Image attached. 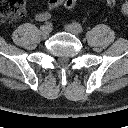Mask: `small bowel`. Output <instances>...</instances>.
Instances as JSON below:
<instances>
[{"instance_id":"obj_1","label":"small bowel","mask_w":128,"mask_h":128,"mask_svg":"<svg viewBox=\"0 0 128 128\" xmlns=\"http://www.w3.org/2000/svg\"><path fill=\"white\" fill-rule=\"evenodd\" d=\"M63 0H48V8L53 10L60 5H62ZM50 13L48 11H42L36 14L35 18L38 21H47L50 18Z\"/></svg>"}]
</instances>
